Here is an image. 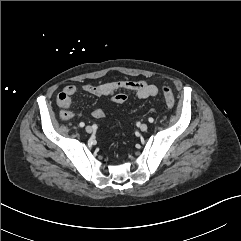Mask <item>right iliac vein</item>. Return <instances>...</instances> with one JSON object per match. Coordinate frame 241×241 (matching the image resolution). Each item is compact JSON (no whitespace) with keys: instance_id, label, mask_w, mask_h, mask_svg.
Returning a JSON list of instances; mask_svg holds the SVG:
<instances>
[{"instance_id":"1","label":"right iliac vein","mask_w":241,"mask_h":241,"mask_svg":"<svg viewBox=\"0 0 241 241\" xmlns=\"http://www.w3.org/2000/svg\"><path fill=\"white\" fill-rule=\"evenodd\" d=\"M87 133H91L92 132V127L91 126H86L85 128Z\"/></svg>"}]
</instances>
